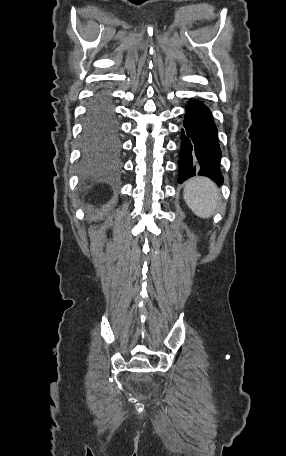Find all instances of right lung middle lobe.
I'll return each instance as SVG.
<instances>
[{
	"label": "right lung middle lobe",
	"mask_w": 286,
	"mask_h": 456,
	"mask_svg": "<svg viewBox=\"0 0 286 456\" xmlns=\"http://www.w3.org/2000/svg\"><path fill=\"white\" fill-rule=\"evenodd\" d=\"M113 123H109L105 120L98 119L97 117L90 116L86 120V134L89 136V138L96 139L104 134H106L108 131H111L112 133L115 132L113 130Z\"/></svg>",
	"instance_id": "dd1d6c3e"
}]
</instances>
